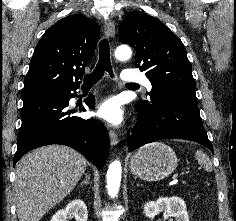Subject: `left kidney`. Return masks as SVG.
I'll list each match as a JSON object with an SVG mask.
<instances>
[{"label":"left kidney","mask_w":236,"mask_h":221,"mask_svg":"<svg viewBox=\"0 0 236 221\" xmlns=\"http://www.w3.org/2000/svg\"><path fill=\"white\" fill-rule=\"evenodd\" d=\"M160 212L175 217V221H189L184 200L176 196L169 198L161 197L156 201L147 202L144 206V213L148 218H154Z\"/></svg>","instance_id":"5707ae66"}]
</instances>
